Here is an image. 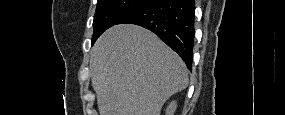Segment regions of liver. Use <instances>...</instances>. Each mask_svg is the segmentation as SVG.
I'll list each match as a JSON object with an SVG mask.
<instances>
[{
    "instance_id": "obj_1",
    "label": "liver",
    "mask_w": 285,
    "mask_h": 115,
    "mask_svg": "<svg viewBox=\"0 0 285 115\" xmlns=\"http://www.w3.org/2000/svg\"><path fill=\"white\" fill-rule=\"evenodd\" d=\"M90 73L100 115H160L166 100L189 84L182 59L132 24L100 36L91 50Z\"/></svg>"
}]
</instances>
